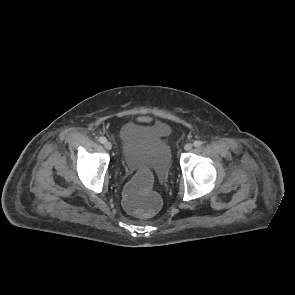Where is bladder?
Returning a JSON list of instances; mask_svg holds the SVG:
<instances>
[{
  "instance_id": "1",
  "label": "bladder",
  "mask_w": 295,
  "mask_h": 295,
  "mask_svg": "<svg viewBox=\"0 0 295 295\" xmlns=\"http://www.w3.org/2000/svg\"><path fill=\"white\" fill-rule=\"evenodd\" d=\"M170 133L169 125L159 119L125 123L119 131L125 166H149L161 176H167L171 158L167 142Z\"/></svg>"
}]
</instances>
